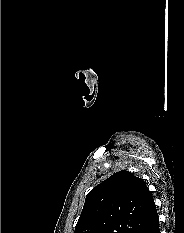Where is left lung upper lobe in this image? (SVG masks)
<instances>
[{
    "mask_svg": "<svg viewBox=\"0 0 184 233\" xmlns=\"http://www.w3.org/2000/svg\"><path fill=\"white\" fill-rule=\"evenodd\" d=\"M153 201L143 179L119 171L87 194L74 233H139Z\"/></svg>",
    "mask_w": 184,
    "mask_h": 233,
    "instance_id": "1",
    "label": "left lung upper lobe"
}]
</instances>
